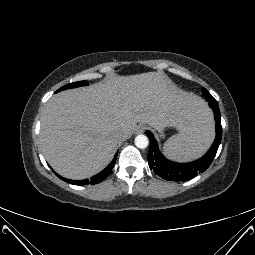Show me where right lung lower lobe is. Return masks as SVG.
I'll return each instance as SVG.
<instances>
[{"label": "right lung lower lobe", "instance_id": "obj_1", "mask_svg": "<svg viewBox=\"0 0 255 255\" xmlns=\"http://www.w3.org/2000/svg\"><path fill=\"white\" fill-rule=\"evenodd\" d=\"M116 158H117V154L115 155L113 161L100 173H98L97 175L91 177L89 180L85 179V180H70V179H66L61 177L60 175L56 174L60 179H62L63 181L70 183V184H74V185H88V184H96L101 182L102 180H104L110 173L112 168L115 165L116 162Z\"/></svg>", "mask_w": 255, "mask_h": 255}]
</instances>
